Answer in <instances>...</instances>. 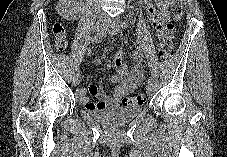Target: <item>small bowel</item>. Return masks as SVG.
Listing matches in <instances>:
<instances>
[{
    "label": "small bowel",
    "instance_id": "small-bowel-1",
    "mask_svg": "<svg viewBox=\"0 0 227 157\" xmlns=\"http://www.w3.org/2000/svg\"><path fill=\"white\" fill-rule=\"evenodd\" d=\"M141 2L150 16L151 24L157 31L158 37H171L172 33L169 32L171 0H141ZM133 60L135 64L132 70L128 71L123 55L119 53L115 56L114 66L116 72L110 77V82L115 83L116 86L111 97H108L105 94L102 86L96 84H90L87 89L78 88L76 90L79 101L87 110L90 111L116 106L126 95L134 91L141 84L145 72L143 52L141 48H138L133 53ZM87 92L94 95L98 101H90Z\"/></svg>",
    "mask_w": 227,
    "mask_h": 157
}]
</instances>
